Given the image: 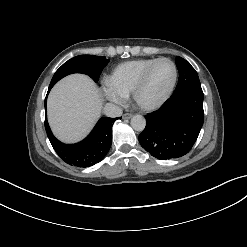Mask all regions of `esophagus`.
<instances>
[{
    "label": "esophagus",
    "instance_id": "obj_1",
    "mask_svg": "<svg viewBox=\"0 0 247 247\" xmlns=\"http://www.w3.org/2000/svg\"><path fill=\"white\" fill-rule=\"evenodd\" d=\"M132 117V114L131 113H125L123 114V118L124 119H130Z\"/></svg>",
    "mask_w": 247,
    "mask_h": 247
}]
</instances>
